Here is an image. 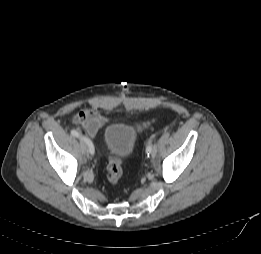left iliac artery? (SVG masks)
<instances>
[{"mask_svg": "<svg viewBox=\"0 0 261 254\" xmlns=\"http://www.w3.org/2000/svg\"><path fill=\"white\" fill-rule=\"evenodd\" d=\"M153 146H152V142L150 141L146 147V153L149 156H152V151H153Z\"/></svg>", "mask_w": 261, "mask_h": 254, "instance_id": "left-iliac-artery-1", "label": "left iliac artery"}]
</instances>
